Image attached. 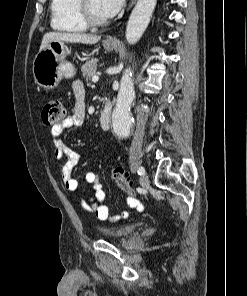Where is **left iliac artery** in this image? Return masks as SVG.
<instances>
[{
    "label": "left iliac artery",
    "mask_w": 247,
    "mask_h": 296,
    "mask_svg": "<svg viewBox=\"0 0 247 296\" xmlns=\"http://www.w3.org/2000/svg\"><path fill=\"white\" fill-rule=\"evenodd\" d=\"M137 172L138 175H142L145 172V169L143 167H140Z\"/></svg>",
    "instance_id": "obj_1"
}]
</instances>
